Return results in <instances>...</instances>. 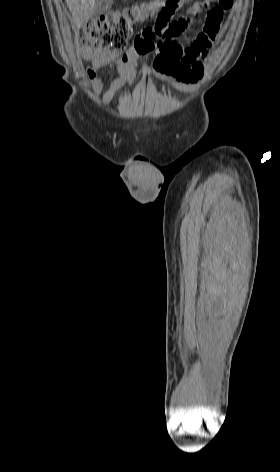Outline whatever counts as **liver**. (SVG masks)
Returning a JSON list of instances; mask_svg holds the SVG:
<instances>
[{
	"label": "liver",
	"instance_id": "liver-1",
	"mask_svg": "<svg viewBox=\"0 0 280 472\" xmlns=\"http://www.w3.org/2000/svg\"><path fill=\"white\" fill-rule=\"evenodd\" d=\"M95 3L96 0H66L72 14L71 22L74 28H81L83 23L93 16Z\"/></svg>",
	"mask_w": 280,
	"mask_h": 472
}]
</instances>
